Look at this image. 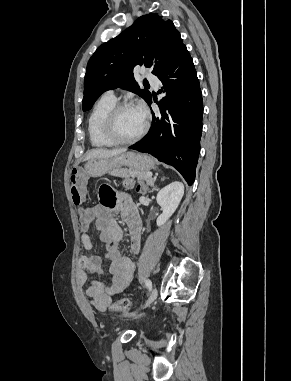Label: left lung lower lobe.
<instances>
[{
  "instance_id": "left-lung-lower-lobe-1",
  "label": "left lung lower lobe",
  "mask_w": 291,
  "mask_h": 381,
  "mask_svg": "<svg viewBox=\"0 0 291 381\" xmlns=\"http://www.w3.org/2000/svg\"><path fill=\"white\" fill-rule=\"evenodd\" d=\"M158 78L163 84L160 92H166L159 104L161 117L153 114L149 133L129 148L149 153L172 165L188 185H192L200 152L203 101L193 60L186 47ZM151 103L150 100L148 104Z\"/></svg>"
}]
</instances>
